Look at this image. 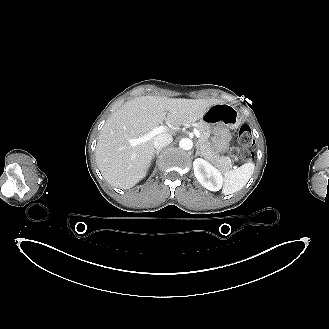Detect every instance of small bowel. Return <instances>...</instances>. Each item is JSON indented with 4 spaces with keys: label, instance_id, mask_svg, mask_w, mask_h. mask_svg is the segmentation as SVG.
<instances>
[{
    "label": "small bowel",
    "instance_id": "c3829d8e",
    "mask_svg": "<svg viewBox=\"0 0 329 329\" xmlns=\"http://www.w3.org/2000/svg\"><path fill=\"white\" fill-rule=\"evenodd\" d=\"M231 138H232L231 134L228 131L222 128L217 129L215 135V142L217 149L220 151L226 150L231 142Z\"/></svg>",
    "mask_w": 329,
    "mask_h": 329
}]
</instances>
